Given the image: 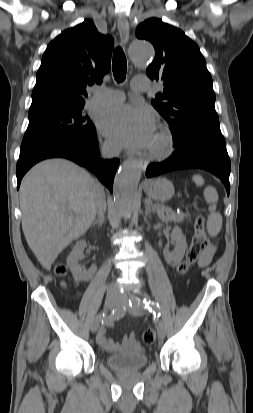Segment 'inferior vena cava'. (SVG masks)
<instances>
[{
    "label": "inferior vena cava",
    "mask_w": 253,
    "mask_h": 413,
    "mask_svg": "<svg viewBox=\"0 0 253 413\" xmlns=\"http://www.w3.org/2000/svg\"><path fill=\"white\" fill-rule=\"evenodd\" d=\"M102 156L104 158H111L114 156H117L119 154V148L116 146L112 145H105L103 146L102 150ZM106 211V201H105V194L103 192V189L101 188L100 191L98 192L97 195V214L98 218H101L102 216L104 217V213ZM117 288L115 285H111L109 287L110 291H115Z\"/></svg>",
    "instance_id": "1"
}]
</instances>
